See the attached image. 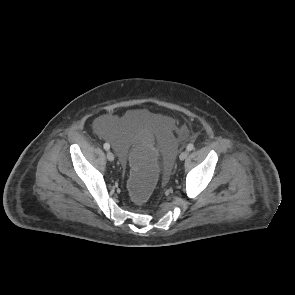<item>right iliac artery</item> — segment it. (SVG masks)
<instances>
[{
    "mask_svg": "<svg viewBox=\"0 0 295 295\" xmlns=\"http://www.w3.org/2000/svg\"><path fill=\"white\" fill-rule=\"evenodd\" d=\"M104 149H105V150H109V149H110V145H109L108 143H105V144H104Z\"/></svg>",
    "mask_w": 295,
    "mask_h": 295,
    "instance_id": "obj_1",
    "label": "right iliac artery"
}]
</instances>
